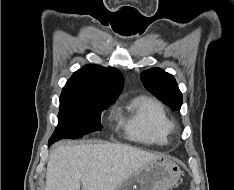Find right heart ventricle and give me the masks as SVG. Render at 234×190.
<instances>
[{"label":"right heart ventricle","mask_w":234,"mask_h":190,"mask_svg":"<svg viewBox=\"0 0 234 190\" xmlns=\"http://www.w3.org/2000/svg\"><path fill=\"white\" fill-rule=\"evenodd\" d=\"M120 125L131 139L144 143L163 145L168 143L174 124L163 106L155 99L140 96L117 111Z\"/></svg>","instance_id":"e07e8e85"}]
</instances>
